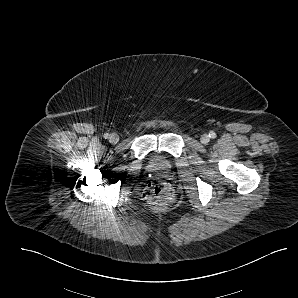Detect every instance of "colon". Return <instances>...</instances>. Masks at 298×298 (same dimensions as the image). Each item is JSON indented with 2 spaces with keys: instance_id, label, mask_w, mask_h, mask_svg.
Listing matches in <instances>:
<instances>
[{
  "instance_id": "colon-1",
  "label": "colon",
  "mask_w": 298,
  "mask_h": 298,
  "mask_svg": "<svg viewBox=\"0 0 298 298\" xmlns=\"http://www.w3.org/2000/svg\"><path fill=\"white\" fill-rule=\"evenodd\" d=\"M173 197L171 185L161 179L151 181L142 194V200L145 204L160 207L169 205Z\"/></svg>"
}]
</instances>
